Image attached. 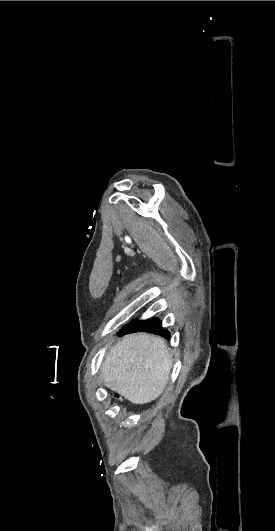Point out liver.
<instances>
[{
    "label": "liver",
    "mask_w": 275,
    "mask_h": 531,
    "mask_svg": "<svg viewBox=\"0 0 275 531\" xmlns=\"http://www.w3.org/2000/svg\"><path fill=\"white\" fill-rule=\"evenodd\" d=\"M165 343L149 333L126 335L105 357L104 383L135 405L155 401L164 393L171 373L172 359Z\"/></svg>",
    "instance_id": "obj_1"
}]
</instances>
